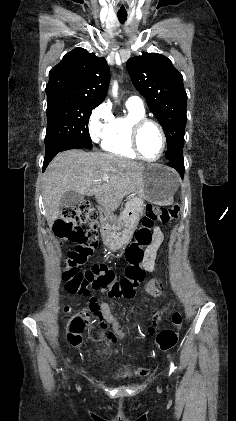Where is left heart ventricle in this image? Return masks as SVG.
Masks as SVG:
<instances>
[{
	"instance_id": "b2bd125f",
	"label": "left heart ventricle",
	"mask_w": 236,
	"mask_h": 421,
	"mask_svg": "<svg viewBox=\"0 0 236 421\" xmlns=\"http://www.w3.org/2000/svg\"><path fill=\"white\" fill-rule=\"evenodd\" d=\"M139 147L144 156L150 159L158 157L162 147L161 136L156 127L144 125L139 133Z\"/></svg>"
}]
</instances>
